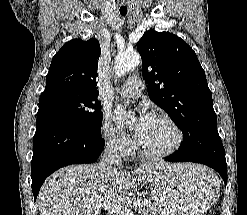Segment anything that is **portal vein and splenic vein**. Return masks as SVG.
I'll return each instance as SVG.
<instances>
[{"mask_svg": "<svg viewBox=\"0 0 247 215\" xmlns=\"http://www.w3.org/2000/svg\"><path fill=\"white\" fill-rule=\"evenodd\" d=\"M133 206L139 207L140 201L134 202ZM103 207L105 210H107L112 215H133L132 212L128 208L108 202V201L105 202L104 204H98L97 206H95L94 207L95 212H98Z\"/></svg>", "mask_w": 247, "mask_h": 215, "instance_id": "18ae733b", "label": "portal vein and splenic vein"}]
</instances>
